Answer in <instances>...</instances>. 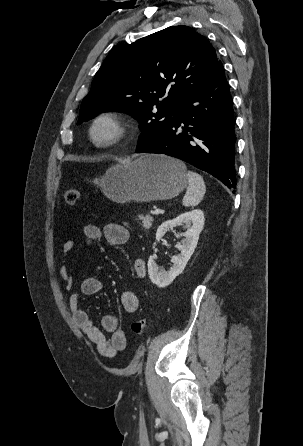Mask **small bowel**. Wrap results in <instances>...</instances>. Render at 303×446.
<instances>
[{"instance_id":"small-bowel-1","label":"small bowel","mask_w":303,"mask_h":446,"mask_svg":"<svg viewBox=\"0 0 303 446\" xmlns=\"http://www.w3.org/2000/svg\"><path fill=\"white\" fill-rule=\"evenodd\" d=\"M86 242L92 243L99 241L102 237L114 246L125 244L130 237L129 230L118 223H108L103 229L94 224H87L83 229ZM74 248V241L67 239L62 245V251L65 256L69 255ZM134 276L142 279L146 275V262L137 258L133 262ZM60 277L65 283L67 290L73 287V279L69 273L66 263L60 268ZM102 288V283L95 276L84 278L80 284V294L90 296L98 293ZM79 293H72L69 298V309L73 320L79 329L93 343L97 351L104 357L112 358L118 351H122L127 346V337L124 330L118 325L117 318L111 314L103 315L101 318V328L93 324L88 313L80 306ZM121 303L124 310L128 313H134L139 308V299L132 290H125L121 294ZM105 333L110 336L106 337Z\"/></svg>"}]
</instances>
